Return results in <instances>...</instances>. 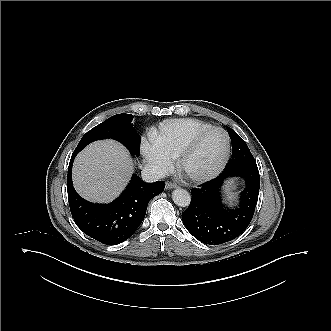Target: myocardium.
Listing matches in <instances>:
<instances>
[{
  "label": "myocardium",
  "mask_w": 331,
  "mask_h": 331,
  "mask_svg": "<svg viewBox=\"0 0 331 331\" xmlns=\"http://www.w3.org/2000/svg\"><path fill=\"white\" fill-rule=\"evenodd\" d=\"M218 131L222 133L224 140H225V147H224V152L222 155V158L218 165L212 169L210 172L206 174H200V175H189L185 172V163L187 158L193 153V151L196 149L198 146L199 142L201 139L206 136L207 134L211 132ZM229 155H230V138L228 133L221 127H216V126H211L207 129H204L197 134H195L183 147L181 152L178 155L177 159V168L178 170L190 181L195 182V183H201V182H206L209 180L214 179L217 177L226 167L228 160H229Z\"/></svg>",
  "instance_id": "myocardium-1"
}]
</instances>
